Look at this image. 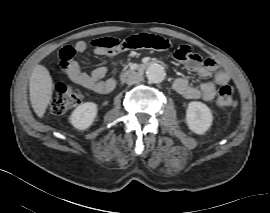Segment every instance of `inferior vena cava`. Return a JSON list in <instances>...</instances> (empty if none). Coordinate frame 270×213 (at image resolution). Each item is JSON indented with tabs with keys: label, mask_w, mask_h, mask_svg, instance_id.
<instances>
[{
	"label": "inferior vena cava",
	"mask_w": 270,
	"mask_h": 213,
	"mask_svg": "<svg viewBox=\"0 0 270 213\" xmlns=\"http://www.w3.org/2000/svg\"><path fill=\"white\" fill-rule=\"evenodd\" d=\"M143 81V76L138 73H131L126 78V83L128 85L137 84Z\"/></svg>",
	"instance_id": "1"
}]
</instances>
